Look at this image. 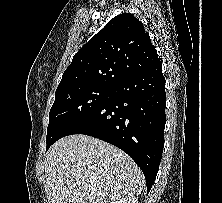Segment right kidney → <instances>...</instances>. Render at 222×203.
<instances>
[{
	"label": "right kidney",
	"mask_w": 222,
	"mask_h": 203,
	"mask_svg": "<svg viewBox=\"0 0 222 203\" xmlns=\"http://www.w3.org/2000/svg\"><path fill=\"white\" fill-rule=\"evenodd\" d=\"M120 203H138V199L133 196V197L127 198L123 202L121 201Z\"/></svg>",
	"instance_id": "1"
}]
</instances>
